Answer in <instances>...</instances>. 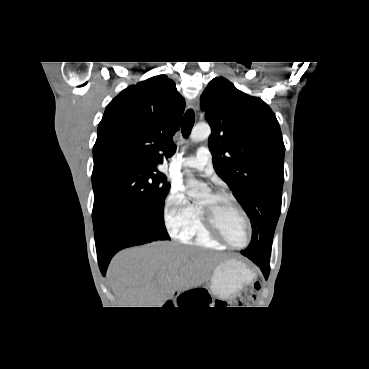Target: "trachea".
Masks as SVG:
<instances>
[{
	"label": "trachea",
	"mask_w": 369,
	"mask_h": 369,
	"mask_svg": "<svg viewBox=\"0 0 369 369\" xmlns=\"http://www.w3.org/2000/svg\"><path fill=\"white\" fill-rule=\"evenodd\" d=\"M194 121H195L194 111L192 109L187 110L183 117L181 127L182 135L185 138H187L190 135L194 125Z\"/></svg>",
	"instance_id": "1"
}]
</instances>
